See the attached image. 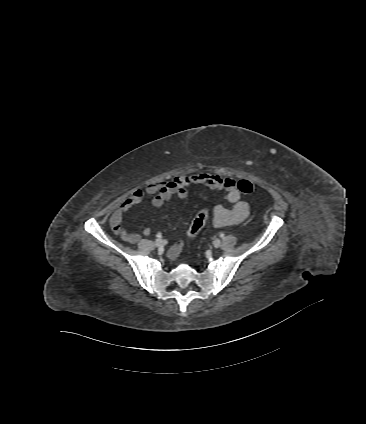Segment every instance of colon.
<instances>
[{
	"label": "colon",
	"mask_w": 366,
	"mask_h": 424,
	"mask_svg": "<svg viewBox=\"0 0 366 424\" xmlns=\"http://www.w3.org/2000/svg\"><path fill=\"white\" fill-rule=\"evenodd\" d=\"M237 187L239 191L244 195H250L254 191V186L247 180H241L238 182ZM208 218V210H201L191 221L190 226L187 231L188 238L190 240L194 239L196 235L205 225Z\"/></svg>",
	"instance_id": "colon-1"
}]
</instances>
